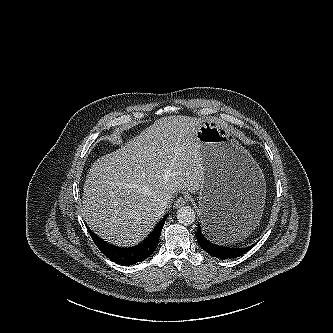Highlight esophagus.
Returning <instances> with one entry per match:
<instances>
[{"label":"esophagus","instance_id":"obj_1","mask_svg":"<svg viewBox=\"0 0 333 333\" xmlns=\"http://www.w3.org/2000/svg\"><path fill=\"white\" fill-rule=\"evenodd\" d=\"M188 201L187 197H179L174 204L175 208H180L182 206H184L186 204V202Z\"/></svg>","mask_w":333,"mask_h":333}]
</instances>
